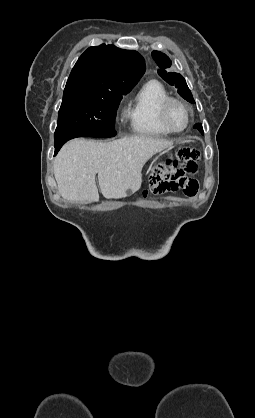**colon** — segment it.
<instances>
[{"instance_id": "obj_1", "label": "colon", "mask_w": 255, "mask_h": 418, "mask_svg": "<svg viewBox=\"0 0 255 418\" xmlns=\"http://www.w3.org/2000/svg\"><path fill=\"white\" fill-rule=\"evenodd\" d=\"M200 153L195 148L184 147L169 154L163 164L152 173L142 198L149 194L182 190L188 197L197 193L198 183L193 178L198 171Z\"/></svg>"}]
</instances>
